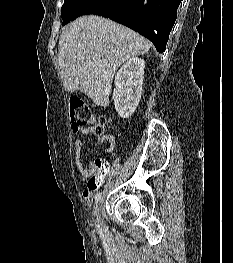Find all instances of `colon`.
<instances>
[{
  "instance_id": "colon-1",
  "label": "colon",
  "mask_w": 233,
  "mask_h": 263,
  "mask_svg": "<svg viewBox=\"0 0 233 263\" xmlns=\"http://www.w3.org/2000/svg\"><path fill=\"white\" fill-rule=\"evenodd\" d=\"M70 118L74 132H79L87 126L94 127L97 132H104L110 125V121L105 117H96L90 108L80 99H73L70 103ZM96 175L88 180L89 189H100V183L107 179V163L104 160H97Z\"/></svg>"
}]
</instances>
